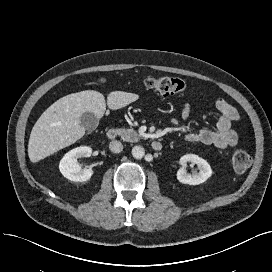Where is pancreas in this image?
Instances as JSON below:
<instances>
[{"label": "pancreas", "mask_w": 272, "mask_h": 272, "mask_svg": "<svg viewBox=\"0 0 272 272\" xmlns=\"http://www.w3.org/2000/svg\"><path fill=\"white\" fill-rule=\"evenodd\" d=\"M119 135L121 136L123 141H128V142H138L141 138V136L136 131H134L132 128L119 129Z\"/></svg>", "instance_id": "pancreas-1"}]
</instances>
